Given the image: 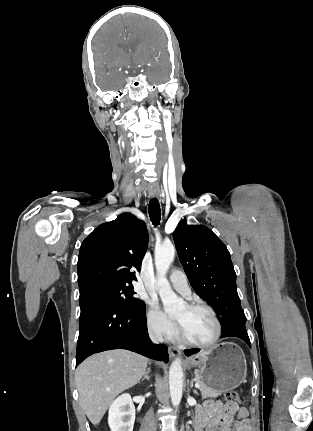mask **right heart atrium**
Returning a JSON list of instances; mask_svg holds the SVG:
<instances>
[{"label": "right heart atrium", "mask_w": 313, "mask_h": 431, "mask_svg": "<svg viewBox=\"0 0 313 431\" xmlns=\"http://www.w3.org/2000/svg\"><path fill=\"white\" fill-rule=\"evenodd\" d=\"M146 321L148 329L154 335L170 338L175 333L174 323L155 303L149 305Z\"/></svg>", "instance_id": "right-heart-atrium-1"}]
</instances>
